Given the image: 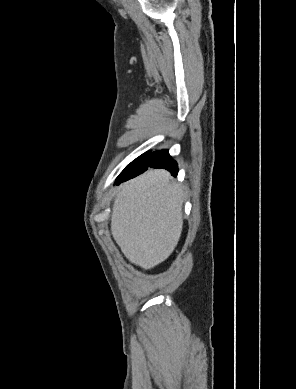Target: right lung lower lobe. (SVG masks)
Listing matches in <instances>:
<instances>
[{"mask_svg":"<svg viewBox=\"0 0 296 389\" xmlns=\"http://www.w3.org/2000/svg\"><path fill=\"white\" fill-rule=\"evenodd\" d=\"M147 165L143 168H125L116 179L117 183L127 181L143 173L148 167L164 168L171 172L173 176L178 173L177 163L171 158L168 150H161L151 153L147 158Z\"/></svg>","mask_w":296,"mask_h":389,"instance_id":"98d812e1","label":"right lung lower lobe"}]
</instances>
